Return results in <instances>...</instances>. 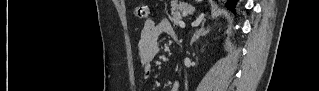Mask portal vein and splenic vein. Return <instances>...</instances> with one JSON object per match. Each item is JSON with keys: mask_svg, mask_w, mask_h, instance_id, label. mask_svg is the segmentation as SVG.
<instances>
[{"mask_svg": "<svg viewBox=\"0 0 319 91\" xmlns=\"http://www.w3.org/2000/svg\"><path fill=\"white\" fill-rule=\"evenodd\" d=\"M179 26H180L181 28H184V27H185V23L182 22V21H180V22H179Z\"/></svg>", "mask_w": 319, "mask_h": 91, "instance_id": "portal-vein-and-splenic-vein-1", "label": "portal vein and splenic vein"}]
</instances>
